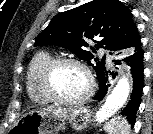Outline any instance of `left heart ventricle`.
Returning <instances> with one entry per match:
<instances>
[{
	"label": "left heart ventricle",
	"mask_w": 153,
	"mask_h": 134,
	"mask_svg": "<svg viewBox=\"0 0 153 134\" xmlns=\"http://www.w3.org/2000/svg\"><path fill=\"white\" fill-rule=\"evenodd\" d=\"M52 82L55 91L68 99L81 97L88 87L85 73L73 65L58 67L54 72Z\"/></svg>",
	"instance_id": "left-heart-ventricle-1"
}]
</instances>
